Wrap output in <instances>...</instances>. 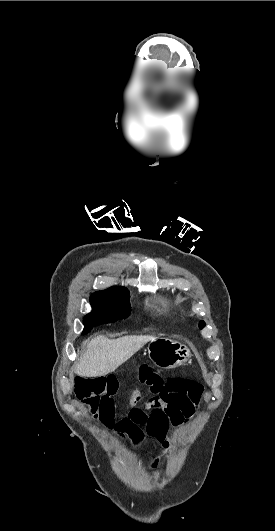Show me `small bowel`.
Wrapping results in <instances>:
<instances>
[{"label": "small bowel", "instance_id": "1", "mask_svg": "<svg viewBox=\"0 0 275 531\" xmlns=\"http://www.w3.org/2000/svg\"><path fill=\"white\" fill-rule=\"evenodd\" d=\"M138 375L143 384H149L148 391L154 396L143 404H140V396H135L133 406L125 416L106 423L117 436L121 439L130 438L135 446L142 442L145 434L164 440L171 428L177 429L184 425L200 402L195 400L191 404L183 397L190 395L199 398L205 390L203 383H195V388L191 390L186 388L185 384H191L193 381L191 373H165L164 383H160L161 375L148 367L140 368ZM120 381L118 375H107L105 378L106 387L104 394L100 396L99 404L100 413L104 417H113L116 414L114 407ZM175 394H181L183 397ZM164 448H168L167 441L164 442ZM160 456L161 454H158L147 461L153 476L157 474Z\"/></svg>", "mask_w": 275, "mask_h": 531}]
</instances>
